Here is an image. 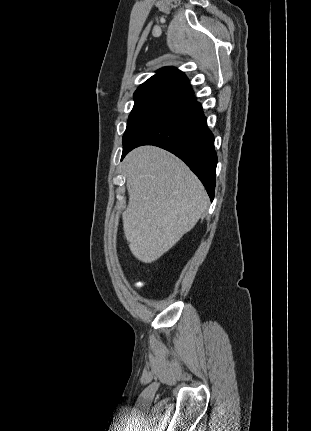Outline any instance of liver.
Masks as SVG:
<instances>
[{
	"label": "liver",
	"mask_w": 311,
	"mask_h": 431,
	"mask_svg": "<svg viewBox=\"0 0 311 431\" xmlns=\"http://www.w3.org/2000/svg\"><path fill=\"white\" fill-rule=\"evenodd\" d=\"M123 166L129 194L125 237L134 257L152 263L196 225L208 196L195 174L161 148H136Z\"/></svg>",
	"instance_id": "6515ba94"
}]
</instances>
